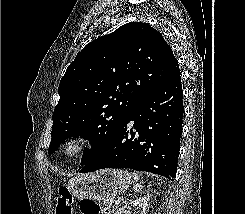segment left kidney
Returning <instances> with one entry per match:
<instances>
[{
  "label": "left kidney",
  "instance_id": "1",
  "mask_svg": "<svg viewBox=\"0 0 245 214\" xmlns=\"http://www.w3.org/2000/svg\"><path fill=\"white\" fill-rule=\"evenodd\" d=\"M147 205H148V198L147 197H140V198H137L133 201H130L129 203H126V205L123 206L122 208H120L119 210H117V212L115 214L126 213L127 212L126 209L130 210L134 206H138V213L139 214H147L146 213ZM134 214H136V213H134Z\"/></svg>",
  "mask_w": 245,
  "mask_h": 214
}]
</instances>
